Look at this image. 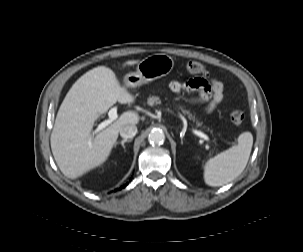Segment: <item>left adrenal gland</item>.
<instances>
[{"label":"left adrenal gland","mask_w":303,"mask_h":252,"mask_svg":"<svg viewBox=\"0 0 303 252\" xmlns=\"http://www.w3.org/2000/svg\"><path fill=\"white\" fill-rule=\"evenodd\" d=\"M181 143L183 144V139H182V137H181Z\"/></svg>","instance_id":"left-adrenal-gland-1"}]
</instances>
